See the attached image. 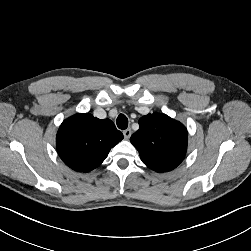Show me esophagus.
<instances>
[{
  "mask_svg": "<svg viewBox=\"0 0 251 251\" xmlns=\"http://www.w3.org/2000/svg\"><path fill=\"white\" fill-rule=\"evenodd\" d=\"M132 131L130 128L123 131V135L126 139H129L131 137Z\"/></svg>",
  "mask_w": 251,
  "mask_h": 251,
  "instance_id": "esophagus-1",
  "label": "esophagus"
}]
</instances>
